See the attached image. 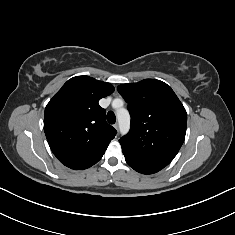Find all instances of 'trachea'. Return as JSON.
Here are the masks:
<instances>
[{"label":"trachea","instance_id":"obj_1","mask_svg":"<svg viewBox=\"0 0 235 235\" xmlns=\"http://www.w3.org/2000/svg\"><path fill=\"white\" fill-rule=\"evenodd\" d=\"M107 121L110 123V124H114L116 122V116L115 114L112 112V111H109L107 113Z\"/></svg>","mask_w":235,"mask_h":235}]
</instances>
